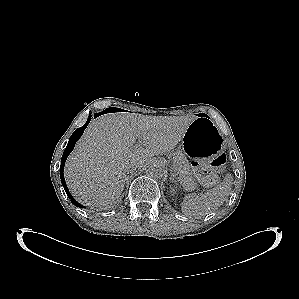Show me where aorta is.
Listing matches in <instances>:
<instances>
[{
    "instance_id": "aorta-1",
    "label": "aorta",
    "mask_w": 299,
    "mask_h": 299,
    "mask_svg": "<svg viewBox=\"0 0 299 299\" xmlns=\"http://www.w3.org/2000/svg\"><path fill=\"white\" fill-rule=\"evenodd\" d=\"M146 173L153 178H162L166 174V167L163 162L151 161L146 167Z\"/></svg>"
}]
</instances>
